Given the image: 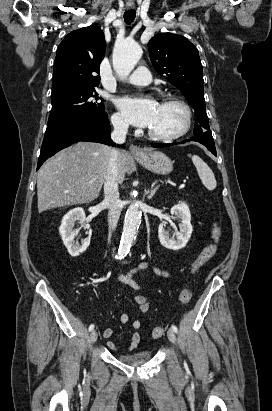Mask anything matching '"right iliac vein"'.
Returning a JSON list of instances; mask_svg holds the SVG:
<instances>
[{
  "label": "right iliac vein",
  "mask_w": 272,
  "mask_h": 411,
  "mask_svg": "<svg viewBox=\"0 0 272 411\" xmlns=\"http://www.w3.org/2000/svg\"><path fill=\"white\" fill-rule=\"evenodd\" d=\"M96 340H97V331L92 330V332L90 333V342L94 343Z\"/></svg>",
  "instance_id": "1"
}]
</instances>
